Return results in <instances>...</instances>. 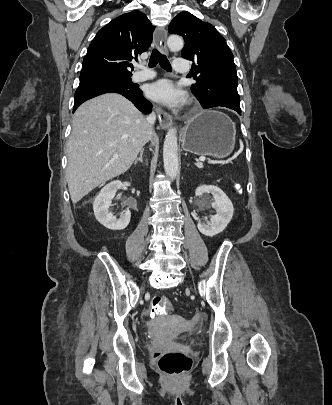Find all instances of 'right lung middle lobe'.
Wrapping results in <instances>:
<instances>
[{
    "instance_id": "dd1d6c3e",
    "label": "right lung middle lobe",
    "mask_w": 332,
    "mask_h": 405,
    "mask_svg": "<svg viewBox=\"0 0 332 405\" xmlns=\"http://www.w3.org/2000/svg\"><path fill=\"white\" fill-rule=\"evenodd\" d=\"M94 84H114L126 88H134L131 76L118 74H95L88 76H80L79 87H86Z\"/></svg>"
}]
</instances>
